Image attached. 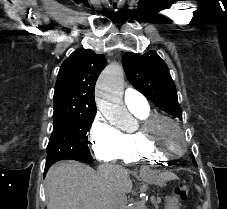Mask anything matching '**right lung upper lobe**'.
<instances>
[{"instance_id": "cb5924a9", "label": "right lung upper lobe", "mask_w": 227, "mask_h": 209, "mask_svg": "<svg viewBox=\"0 0 227 209\" xmlns=\"http://www.w3.org/2000/svg\"><path fill=\"white\" fill-rule=\"evenodd\" d=\"M107 61L91 50L74 51L60 67L54 93V113H95L96 80ZM75 101L76 104L69 103Z\"/></svg>"}]
</instances>
